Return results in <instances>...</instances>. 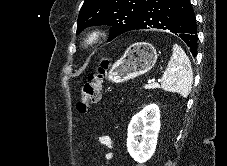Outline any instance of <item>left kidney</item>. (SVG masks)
<instances>
[{
  "mask_svg": "<svg viewBox=\"0 0 227 166\" xmlns=\"http://www.w3.org/2000/svg\"><path fill=\"white\" fill-rule=\"evenodd\" d=\"M160 130V110L150 104L133 116L128 126L127 150L138 163L149 160L155 152Z\"/></svg>",
  "mask_w": 227,
  "mask_h": 166,
  "instance_id": "left-kidney-1",
  "label": "left kidney"
}]
</instances>
